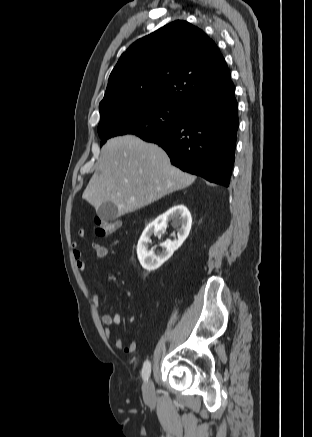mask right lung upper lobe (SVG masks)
Masks as SVG:
<instances>
[{
    "mask_svg": "<svg viewBox=\"0 0 312 437\" xmlns=\"http://www.w3.org/2000/svg\"><path fill=\"white\" fill-rule=\"evenodd\" d=\"M230 81L216 44L190 23L174 21L137 40L120 57L99 104L100 117L133 103L187 108Z\"/></svg>",
    "mask_w": 312,
    "mask_h": 437,
    "instance_id": "cb5924a9",
    "label": "right lung upper lobe"
}]
</instances>
